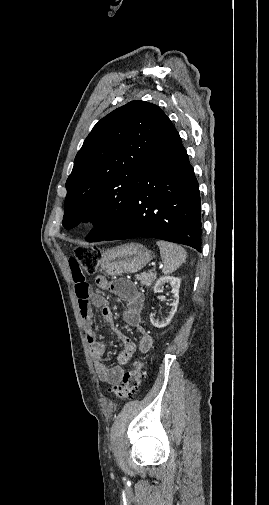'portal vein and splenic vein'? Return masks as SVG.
Returning <instances> with one entry per match:
<instances>
[{
	"label": "portal vein and splenic vein",
	"mask_w": 269,
	"mask_h": 505,
	"mask_svg": "<svg viewBox=\"0 0 269 505\" xmlns=\"http://www.w3.org/2000/svg\"><path fill=\"white\" fill-rule=\"evenodd\" d=\"M154 270H155L154 268L151 269V271H154Z\"/></svg>",
	"instance_id": "1"
}]
</instances>
